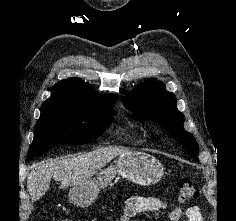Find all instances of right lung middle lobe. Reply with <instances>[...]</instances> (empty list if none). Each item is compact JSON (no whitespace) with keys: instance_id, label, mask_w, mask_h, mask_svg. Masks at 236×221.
<instances>
[{"instance_id":"1","label":"right lung middle lobe","mask_w":236,"mask_h":221,"mask_svg":"<svg viewBox=\"0 0 236 221\" xmlns=\"http://www.w3.org/2000/svg\"><path fill=\"white\" fill-rule=\"evenodd\" d=\"M27 160L60 144H86L113 122V105L94 108L42 105Z\"/></svg>"}]
</instances>
